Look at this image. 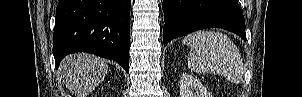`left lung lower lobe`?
Masks as SVG:
<instances>
[{
    "label": "left lung lower lobe",
    "instance_id": "left-lung-lower-lobe-1",
    "mask_svg": "<svg viewBox=\"0 0 302 97\" xmlns=\"http://www.w3.org/2000/svg\"><path fill=\"white\" fill-rule=\"evenodd\" d=\"M163 41L204 28H223L244 41L245 21L237 0H163Z\"/></svg>",
    "mask_w": 302,
    "mask_h": 97
}]
</instances>
